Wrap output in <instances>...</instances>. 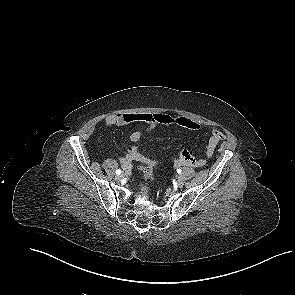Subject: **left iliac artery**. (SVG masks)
I'll return each instance as SVG.
<instances>
[{"mask_svg": "<svg viewBox=\"0 0 295 295\" xmlns=\"http://www.w3.org/2000/svg\"><path fill=\"white\" fill-rule=\"evenodd\" d=\"M177 173L180 174L181 173V169H177Z\"/></svg>", "mask_w": 295, "mask_h": 295, "instance_id": "obj_1", "label": "left iliac artery"}]
</instances>
